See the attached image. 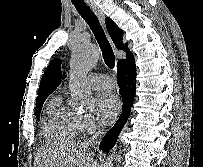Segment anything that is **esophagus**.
<instances>
[{
    "label": "esophagus",
    "instance_id": "obj_1",
    "mask_svg": "<svg viewBox=\"0 0 203 167\" xmlns=\"http://www.w3.org/2000/svg\"><path fill=\"white\" fill-rule=\"evenodd\" d=\"M88 5L93 10V12L97 15V17L100 19L102 24H104L105 15H104L103 11L94 2L88 1Z\"/></svg>",
    "mask_w": 203,
    "mask_h": 167
}]
</instances>
